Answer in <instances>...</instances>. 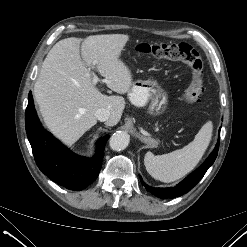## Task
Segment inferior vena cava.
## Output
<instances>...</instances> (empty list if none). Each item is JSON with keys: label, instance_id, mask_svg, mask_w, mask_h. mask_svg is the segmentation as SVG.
<instances>
[{"label": "inferior vena cava", "instance_id": "602c4592", "mask_svg": "<svg viewBox=\"0 0 247 247\" xmlns=\"http://www.w3.org/2000/svg\"><path fill=\"white\" fill-rule=\"evenodd\" d=\"M95 116L101 122L108 121L110 118V112L105 108H100L95 111Z\"/></svg>", "mask_w": 247, "mask_h": 247}]
</instances>
